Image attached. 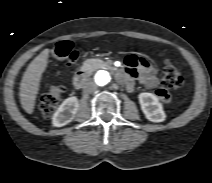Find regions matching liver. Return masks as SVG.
Wrapping results in <instances>:
<instances>
[{"label":"liver","mask_w":212,"mask_h":183,"mask_svg":"<svg viewBox=\"0 0 212 183\" xmlns=\"http://www.w3.org/2000/svg\"><path fill=\"white\" fill-rule=\"evenodd\" d=\"M49 50L42 51L27 67L20 84V101L22 108L32 114L39 91L42 74L46 70Z\"/></svg>","instance_id":"liver-1"}]
</instances>
